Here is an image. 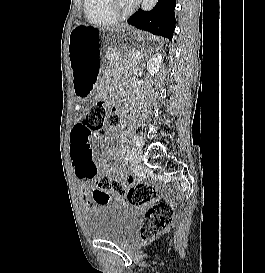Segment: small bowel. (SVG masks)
<instances>
[{"mask_svg":"<svg viewBox=\"0 0 265 273\" xmlns=\"http://www.w3.org/2000/svg\"><path fill=\"white\" fill-rule=\"evenodd\" d=\"M111 155V151L106 152V156ZM70 161L79 181L83 205L88 207L90 199L92 204H112L109 190H101L100 186H93L91 190V185L99 174L111 175L114 167L109 163H96L89 142V131L81 121L75 123L71 130Z\"/></svg>","mask_w":265,"mask_h":273,"instance_id":"obj_1","label":"small bowel"}]
</instances>
